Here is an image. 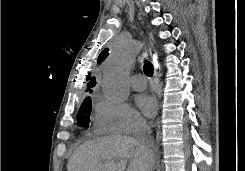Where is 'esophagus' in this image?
Returning a JSON list of instances; mask_svg holds the SVG:
<instances>
[{"mask_svg":"<svg viewBox=\"0 0 245 171\" xmlns=\"http://www.w3.org/2000/svg\"><path fill=\"white\" fill-rule=\"evenodd\" d=\"M153 65H154V75H153V81H154V90L155 93L158 97V99L160 98V85H159V76H158V61L153 58Z\"/></svg>","mask_w":245,"mask_h":171,"instance_id":"esophagus-1","label":"esophagus"}]
</instances>
